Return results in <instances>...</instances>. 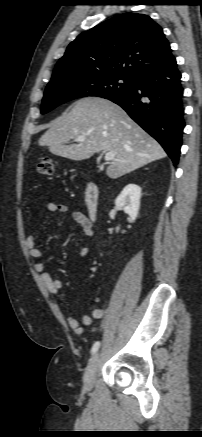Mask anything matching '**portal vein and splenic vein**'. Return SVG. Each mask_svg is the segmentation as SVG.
I'll use <instances>...</instances> for the list:
<instances>
[{
	"instance_id": "obj_1",
	"label": "portal vein and splenic vein",
	"mask_w": 202,
	"mask_h": 437,
	"mask_svg": "<svg viewBox=\"0 0 202 437\" xmlns=\"http://www.w3.org/2000/svg\"><path fill=\"white\" fill-rule=\"evenodd\" d=\"M84 139H85V136H78V137L76 138V141H77V142H83ZM114 157H115L114 152H106L104 159H105V161L108 162V161H112V160H114Z\"/></svg>"
}]
</instances>
